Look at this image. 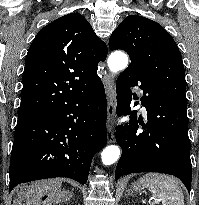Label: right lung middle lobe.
Wrapping results in <instances>:
<instances>
[{
	"mask_svg": "<svg viewBox=\"0 0 199 205\" xmlns=\"http://www.w3.org/2000/svg\"><path fill=\"white\" fill-rule=\"evenodd\" d=\"M30 119H18L17 126L23 125L28 122Z\"/></svg>",
	"mask_w": 199,
	"mask_h": 205,
	"instance_id": "right-lung-middle-lobe-1",
	"label": "right lung middle lobe"
}]
</instances>
